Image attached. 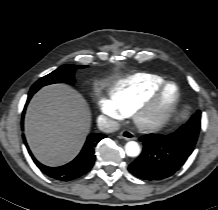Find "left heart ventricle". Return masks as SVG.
I'll return each mask as SVG.
<instances>
[{"label": "left heart ventricle", "mask_w": 218, "mask_h": 210, "mask_svg": "<svg viewBox=\"0 0 218 210\" xmlns=\"http://www.w3.org/2000/svg\"><path fill=\"white\" fill-rule=\"evenodd\" d=\"M176 93L177 90L175 86L170 85L169 87H167L156 106L150 112L149 117L160 118L174 101Z\"/></svg>", "instance_id": "obj_1"}]
</instances>
